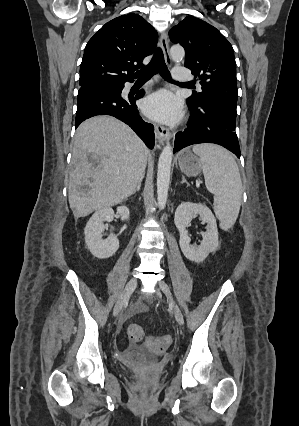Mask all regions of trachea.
<instances>
[{"label": "trachea", "instance_id": "obj_1", "mask_svg": "<svg viewBox=\"0 0 299 426\" xmlns=\"http://www.w3.org/2000/svg\"><path fill=\"white\" fill-rule=\"evenodd\" d=\"M157 72H159L160 76L163 79L167 81H173L170 72L167 68V65L165 64L161 48L156 49L155 55L151 62L138 72V80H149Z\"/></svg>", "mask_w": 299, "mask_h": 426}]
</instances>
